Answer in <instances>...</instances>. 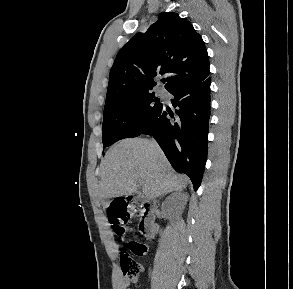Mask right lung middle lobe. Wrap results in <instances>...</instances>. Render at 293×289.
<instances>
[{
    "label": "right lung middle lobe",
    "mask_w": 293,
    "mask_h": 289,
    "mask_svg": "<svg viewBox=\"0 0 293 289\" xmlns=\"http://www.w3.org/2000/svg\"><path fill=\"white\" fill-rule=\"evenodd\" d=\"M161 106L155 93L151 92L117 98L106 103L102 125L103 147L129 138Z\"/></svg>",
    "instance_id": "dd1d6c3e"
}]
</instances>
